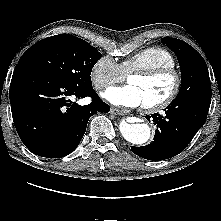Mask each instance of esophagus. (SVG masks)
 <instances>
[{"mask_svg":"<svg viewBox=\"0 0 221 221\" xmlns=\"http://www.w3.org/2000/svg\"><path fill=\"white\" fill-rule=\"evenodd\" d=\"M110 113H111V114H114V115H123V114L125 113V111H124V110H120V109H118V108L112 107V108L110 109Z\"/></svg>","mask_w":221,"mask_h":221,"instance_id":"34e87169","label":"esophagus"}]
</instances>
